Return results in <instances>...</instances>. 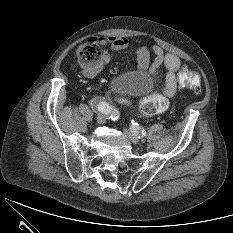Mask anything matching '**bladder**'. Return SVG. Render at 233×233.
I'll return each mask as SVG.
<instances>
[{
  "instance_id": "31cf9c89",
  "label": "bladder",
  "mask_w": 233,
  "mask_h": 233,
  "mask_svg": "<svg viewBox=\"0 0 233 233\" xmlns=\"http://www.w3.org/2000/svg\"><path fill=\"white\" fill-rule=\"evenodd\" d=\"M153 81L144 71H130L123 73L112 80L111 90L131 96H140L151 90Z\"/></svg>"
}]
</instances>
